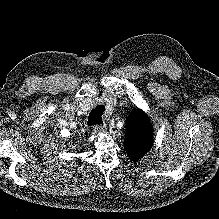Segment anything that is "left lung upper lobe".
Segmentation results:
<instances>
[{
	"mask_svg": "<svg viewBox=\"0 0 219 219\" xmlns=\"http://www.w3.org/2000/svg\"><path fill=\"white\" fill-rule=\"evenodd\" d=\"M124 148L133 161L141 159L152 147L153 127L146 113L137 109L126 120Z\"/></svg>",
	"mask_w": 219,
	"mask_h": 219,
	"instance_id": "1",
	"label": "left lung upper lobe"
}]
</instances>
